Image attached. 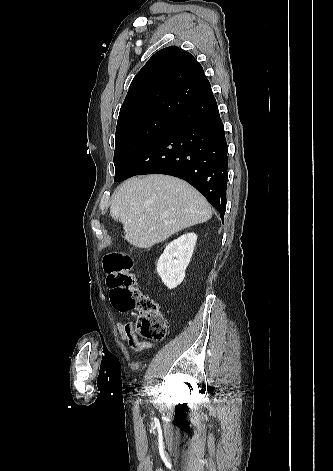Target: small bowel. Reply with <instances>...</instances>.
<instances>
[{"label":"small bowel","mask_w":333,"mask_h":471,"mask_svg":"<svg viewBox=\"0 0 333 471\" xmlns=\"http://www.w3.org/2000/svg\"><path fill=\"white\" fill-rule=\"evenodd\" d=\"M116 328L119 332V336L121 340L127 341V343L129 344V346L134 352H140L145 349H151L154 347L153 343L149 341L141 340L137 336L134 330L133 324L131 322H127V323L116 322Z\"/></svg>","instance_id":"1"}]
</instances>
